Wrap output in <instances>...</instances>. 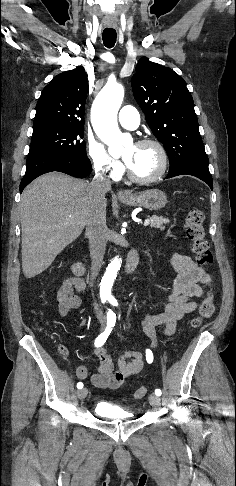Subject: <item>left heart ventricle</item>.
<instances>
[{"mask_svg":"<svg viewBox=\"0 0 236 486\" xmlns=\"http://www.w3.org/2000/svg\"><path fill=\"white\" fill-rule=\"evenodd\" d=\"M124 159L131 171L139 177H149L160 167V155L152 145L128 147Z\"/></svg>","mask_w":236,"mask_h":486,"instance_id":"obj_1","label":"left heart ventricle"}]
</instances>
